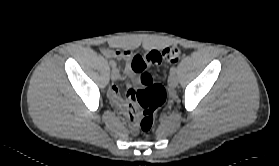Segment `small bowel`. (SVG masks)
<instances>
[{
    "label": "small bowel",
    "mask_w": 279,
    "mask_h": 166,
    "mask_svg": "<svg viewBox=\"0 0 279 166\" xmlns=\"http://www.w3.org/2000/svg\"><path fill=\"white\" fill-rule=\"evenodd\" d=\"M103 54L106 57L114 58L120 61H129L132 56L131 50H114L110 48H106L102 50ZM126 74L130 76L131 78L134 77V72L131 69V66L128 64L126 67ZM108 96L111 99V101L119 108L126 111V114L132 124V127L135 128L136 126V114H134V103L137 99V96L135 94V91L132 89L131 85L128 86L127 89V101L125 102L120 94L119 88L117 85H112L109 88Z\"/></svg>",
    "instance_id": "obj_1"
}]
</instances>
